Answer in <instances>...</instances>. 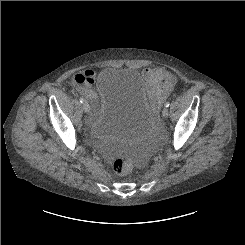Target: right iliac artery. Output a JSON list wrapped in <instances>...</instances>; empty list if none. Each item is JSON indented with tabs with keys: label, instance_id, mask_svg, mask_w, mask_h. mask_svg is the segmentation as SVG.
Instances as JSON below:
<instances>
[{
	"label": "right iliac artery",
	"instance_id": "82829eb1",
	"mask_svg": "<svg viewBox=\"0 0 245 245\" xmlns=\"http://www.w3.org/2000/svg\"><path fill=\"white\" fill-rule=\"evenodd\" d=\"M80 102H81V103H85V100H84L83 97L80 98Z\"/></svg>",
	"mask_w": 245,
	"mask_h": 245
}]
</instances>
